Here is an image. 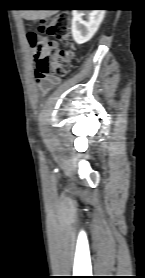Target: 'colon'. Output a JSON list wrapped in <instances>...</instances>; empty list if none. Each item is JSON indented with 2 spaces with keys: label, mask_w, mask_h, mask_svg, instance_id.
<instances>
[{
  "label": "colon",
  "mask_w": 145,
  "mask_h": 278,
  "mask_svg": "<svg viewBox=\"0 0 145 278\" xmlns=\"http://www.w3.org/2000/svg\"><path fill=\"white\" fill-rule=\"evenodd\" d=\"M69 28L70 18L64 13L41 21L38 25L39 32L60 40L67 39ZM27 41L30 47L35 49L37 77L39 79L48 77L50 82H58L73 59L72 52L58 48L52 41H41L33 32L27 34Z\"/></svg>",
  "instance_id": "obj_1"
}]
</instances>
